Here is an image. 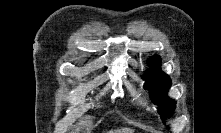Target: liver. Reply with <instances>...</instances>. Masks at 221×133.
I'll list each match as a JSON object with an SVG mask.
<instances>
[{
	"label": "liver",
	"instance_id": "obj_1",
	"mask_svg": "<svg viewBox=\"0 0 221 133\" xmlns=\"http://www.w3.org/2000/svg\"><path fill=\"white\" fill-rule=\"evenodd\" d=\"M132 129H129V128H122V129H117V130H114V132H111V133H132Z\"/></svg>",
	"mask_w": 221,
	"mask_h": 133
}]
</instances>
